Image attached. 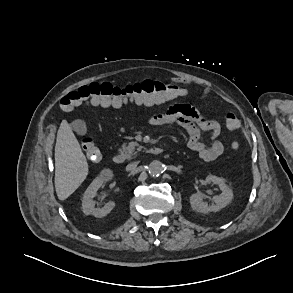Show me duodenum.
<instances>
[{
	"mask_svg": "<svg viewBox=\"0 0 293 293\" xmlns=\"http://www.w3.org/2000/svg\"><path fill=\"white\" fill-rule=\"evenodd\" d=\"M147 151L151 155H160L161 153H163L164 149L159 146H152V147H149ZM125 161H126V156L123 153L119 152L113 156V162L115 164H123Z\"/></svg>",
	"mask_w": 293,
	"mask_h": 293,
	"instance_id": "duodenum-1",
	"label": "duodenum"
}]
</instances>
